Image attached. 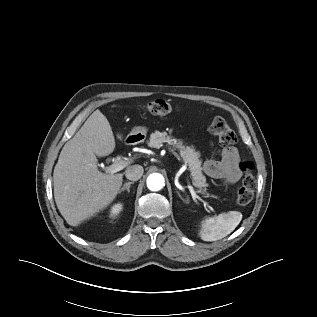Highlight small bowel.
Here are the masks:
<instances>
[{
	"mask_svg": "<svg viewBox=\"0 0 317 317\" xmlns=\"http://www.w3.org/2000/svg\"><path fill=\"white\" fill-rule=\"evenodd\" d=\"M240 163L238 149L235 146H228L222 150L220 159L206 161L203 165V171L212 179L234 184L242 174Z\"/></svg>",
	"mask_w": 317,
	"mask_h": 317,
	"instance_id": "1",
	"label": "small bowel"
}]
</instances>
